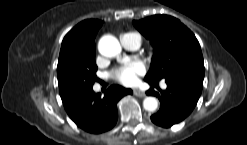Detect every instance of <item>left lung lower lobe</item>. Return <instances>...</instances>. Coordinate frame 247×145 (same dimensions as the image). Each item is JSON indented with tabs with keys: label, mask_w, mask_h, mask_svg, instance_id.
Listing matches in <instances>:
<instances>
[{
	"label": "left lung lower lobe",
	"mask_w": 247,
	"mask_h": 145,
	"mask_svg": "<svg viewBox=\"0 0 247 145\" xmlns=\"http://www.w3.org/2000/svg\"><path fill=\"white\" fill-rule=\"evenodd\" d=\"M167 89L156 92L150 89L147 95L159 98V111L151 116V120L158 126L171 127L185 119L194 109L202 92L203 81L190 77L175 75L165 78ZM149 84L158 82L147 81Z\"/></svg>",
	"instance_id": "0a47b994"
}]
</instances>
